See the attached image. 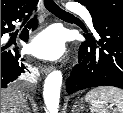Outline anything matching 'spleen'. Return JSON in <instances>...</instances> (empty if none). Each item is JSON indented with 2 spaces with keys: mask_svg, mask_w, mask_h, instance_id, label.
<instances>
[{
  "mask_svg": "<svg viewBox=\"0 0 123 113\" xmlns=\"http://www.w3.org/2000/svg\"><path fill=\"white\" fill-rule=\"evenodd\" d=\"M85 99L91 105V113H107V103L114 105L118 113H123V90L119 88L98 87L89 91Z\"/></svg>",
  "mask_w": 123,
  "mask_h": 113,
  "instance_id": "spleen-1",
  "label": "spleen"
}]
</instances>
